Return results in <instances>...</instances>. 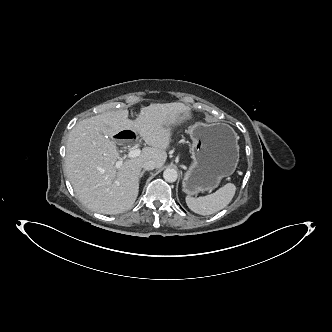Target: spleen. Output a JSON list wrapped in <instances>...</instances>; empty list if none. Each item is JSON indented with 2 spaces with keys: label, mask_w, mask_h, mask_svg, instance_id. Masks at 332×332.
<instances>
[{
  "label": "spleen",
  "mask_w": 332,
  "mask_h": 332,
  "mask_svg": "<svg viewBox=\"0 0 332 332\" xmlns=\"http://www.w3.org/2000/svg\"><path fill=\"white\" fill-rule=\"evenodd\" d=\"M236 187L232 183H227L216 192L199 198L186 197L188 207L200 215H211L226 207L235 195Z\"/></svg>",
  "instance_id": "obj_1"
}]
</instances>
